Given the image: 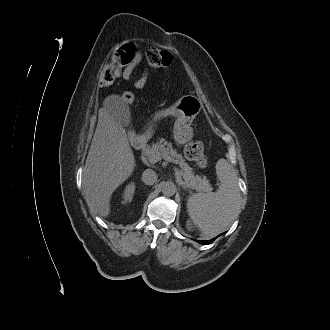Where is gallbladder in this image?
Here are the masks:
<instances>
[{"instance_id": "obj_1", "label": "gallbladder", "mask_w": 330, "mask_h": 330, "mask_svg": "<svg viewBox=\"0 0 330 330\" xmlns=\"http://www.w3.org/2000/svg\"><path fill=\"white\" fill-rule=\"evenodd\" d=\"M115 112L118 116L120 124L123 127L129 128L131 126V112L129 107L125 103L120 102L119 106L115 108Z\"/></svg>"}]
</instances>
